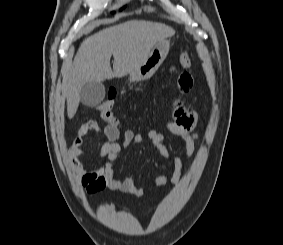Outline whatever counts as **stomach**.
I'll return each mask as SVG.
<instances>
[{
    "label": "stomach",
    "instance_id": "stomach-1",
    "mask_svg": "<svg viewBox=\"0 0 283 245\" xmlns=\"http://www.w3.org/2000/svg\"><path fill=\"white\" fill-rule=\"evenodd\" d=\"M169 49L170 42L168 40L159 41L143 63L129 73V80L135 82L151 78L167 57Z\"/></svg>",
    "mask_w": 283,
    "mask_h": 245
}]
</instances>
